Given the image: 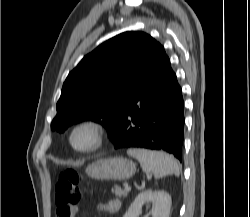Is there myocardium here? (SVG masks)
<instances>
[{
  "label": "myocardium",
  "instance_id": "obj_1",
  "mask_svg": "<svg viewBox=\"0 0 250 217\" xmlns=\"http://www.w3.org/2000/svg\"><path fill=\"white\" fill-rule=\"evenodd\" d=\"M79 132H86L89 135V143L82 147L77 146L74 142V138ZM103 138V126L93 120H83L76 123L69 133V143L79 153H89L98 149L103 142Z\"/></svg>",
  "mask_w": 250,
  "mask_h": 217
}]
</instances>
